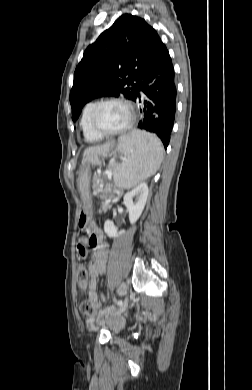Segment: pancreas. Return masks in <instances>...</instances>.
I'll return each mask as SVG.
<instances>
[{"instance_id":"obj_1","label":"pancreas","mask_w":252,"mask_h":390,"mask_svg":"<svg viewBox=\"0 0 252 390\" xmlns=\"http://www.w3.org/2000/svg\"><path fill=\"white\" fill-rule=\"evenodd\" d=\"M96 190V188H94ZM111 208V202H102L101 203V212Z\"/></svg>"}]
</instances>
